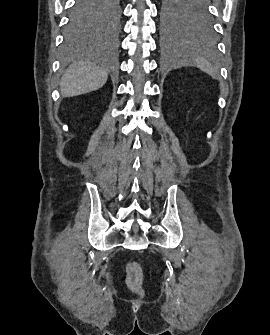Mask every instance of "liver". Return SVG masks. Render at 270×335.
Masks as SVG:
<instances>
[{
    "mask_svg": "<svg viewBox=\"0 0 270 335\" xmlns=\"http://www.w3.org/2000/svg\"><path fill=\"white\" fill-rule=\"evenodd\" d=\"M108 74L90 62L73 64L61 78L60 88L63 96H80L98 90L106 84Z\"/></svg>",
    "mask_w": 270,
    "mask_h": 335,
    "instance_id": "6515ba94",
    "label": "liver"
}]
</instances>
